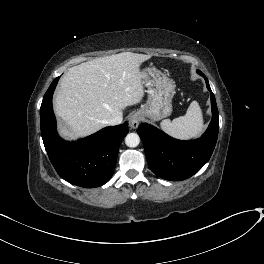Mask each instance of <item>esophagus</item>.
I'll return each mask as SVG.
<instances>
[{
	"mask_svg": "<svg viewBox=\"0 0 264 264\" xmlns=\"http://www.w3.org/2000/svg\"><path fill=\"white\" fill-rule=\"evenodd\" d=\"M140 124V115L138 113H132L130 116H129V126L132 128V129H136Z\"/></svg>",
	"mask_w": 264,
	"mask_h": 264,
	"instance_id": "esophagus-1",
	"label": "esophagus"
}]
</instances>
